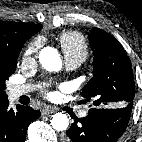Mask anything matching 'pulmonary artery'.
<instances>
[{
  "instance_id": "pulmonary-artery-1",
  "label": "pulmonary artery",
  "mask_w": 142,
  "mask_h": 142,
  "mask_svg": "<svg viewBox=\"0 0 142 142\" xmlns=\"http://www.w3.org/2000/svg\"><path fill=\"white\" fill-rule=\"evenodd\" d=\"M82 60L77 58H65V65L67 70L73 71L77 69L81 64ZM34 89V85H18V86H12L9 89V98L11 100H16L20 96L29 93ZM80 117H86L87 116V110H82L79 113Z\"/></svg>"
}]
</instances>
